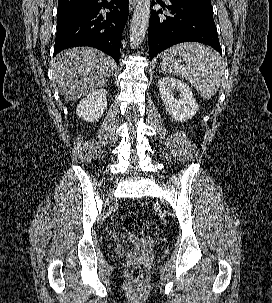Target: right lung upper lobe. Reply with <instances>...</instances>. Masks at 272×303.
I'll return each instance as SVG.
<instances>
[{
  "label": "right lung upper lobe",
  "instance_id": "1",
  "mask_svg": "<svg viewBox=\"0 0 272 303\" xmlns=\"http://www.w3.org/2000/svg\"><path fill=\"white\" fill-rule=\"evenodd\" d=\"M91 0H58V7H75Z\"/></svg>",
  "mask_w": 272,
  "mask_h": 303
}]
</instances>
